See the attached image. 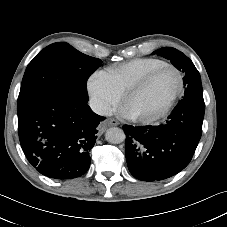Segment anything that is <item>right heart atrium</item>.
Segmentation results:
<instances>
[{
  "mask_svg": "<svg viewBox=\"0 0 227 227\" xmlns=\"http://www.w3.org/2000/svg\"><path fill=\"white\" fill-rule=\"evenodd\" d=\"M86 87L91 101L100 113H107L121 99V94L104 70L94 72L88 78Z\"/></svg>",
  "mask_w": 227,
  "mask_h": 227,
  "instance_id": "right-heart-atrium-1",
  "label": "right heart atrium"
}]
</instances>
